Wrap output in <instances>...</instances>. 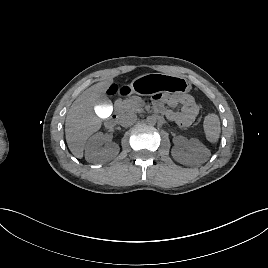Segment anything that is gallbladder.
Segmentation results:
<instances>
[{"instance_id": "1", "label": "gallbladder", "mask_w": 268, "mask_h": 268, "mask_svg": "<svg viewBox=\"0 0 268 268\" xmlns=\"http://www.w3.org/2000/svg\"><path fill=\"white\" fill-rule=\"evenodd\" d=\"M95 106L97 115L102 118L110 116L113 109L111 101L105 95L96 100Z\"/></svg>"}]
</instances>
